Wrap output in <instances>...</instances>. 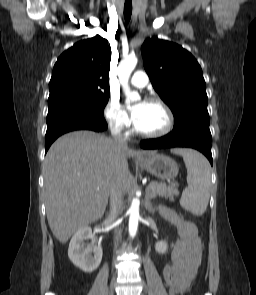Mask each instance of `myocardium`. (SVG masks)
<instances>
[{"label":"myocardium","instance_id":"myocardium-1","mask_svg":"<svg viewBox=\"0 0 256 295\" xmlns=\"http://www.w3.org/2000/svg\"><path fill=\"white\" fill-rule=\"evenodd\" d=\"M148 104H154L157 105L158 107H160L163 112L165 113L166 116V123L164 125V127L159 130V131H155V132H143L141 130H139L136 125H134V131L136 134H138L139 136L142 137H146V138H159V137H163L165 135H167L173 128L174 125V117H173V113L171 111V109L168 107V105L161 99L159 98H149L147 100Z\"/></svg>","mask_w":256,"mask_h":295}]
</instances>
